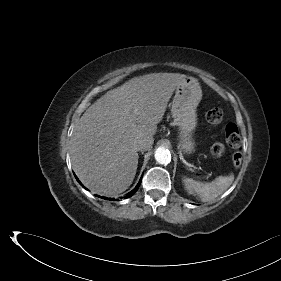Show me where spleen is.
I'll use <instances>...</instances> for the list:
<instances>
[{
  "mask_svg": "<svg viewBox=\"0 0 281 281\" xmlns=\"http://www.w3.org/2000/svg\"><path fill=\"white\" fill-rule=\"evenodd\" d=\"M234 175L219 176L209 183L197 182L190 178L183 179L185 189L189 193H197L202 202H212L223 194L233 183Z\"/></svg>",
  "mask_w": 281,
  "mask_h": 281,
  "instance_id": "obj_1",
  "label": "spleen"
}]
</instances>
